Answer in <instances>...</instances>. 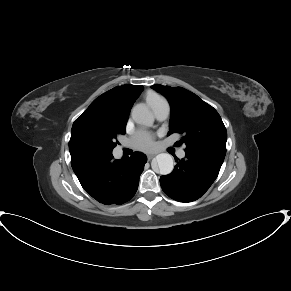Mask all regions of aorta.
<instances>
[{
  "label": "aorta",
  "instance_id": "obj_1",
  "mask_svg": "<svg viewBox=\"0 0 291 291\" xmlns=\"http://www.w3.org/2000/svg\"><path fill=\"white\" fill-rule=\"evenodd\" d=\"M132 119L135 123L145 126H151L154 122V117L150 110L143 104L136 105L132 109ZM159 173L168 175L173 171V158L168 153L158 154L155 158Z\"/></svg>",
  "mask_w": 291,
  "mask_h": 291
}]
</instances>
